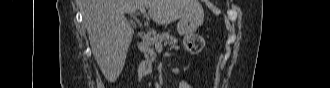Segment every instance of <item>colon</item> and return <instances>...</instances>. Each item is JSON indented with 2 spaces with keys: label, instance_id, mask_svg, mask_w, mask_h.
<instances>
[{
  "label": "colon",
  "instance_id": "5ec220e1",
  "mask_svg": "<svg viewBox=\"0 0 330 88\" xmlns=\"http://www.w3.org/2000/svg\"><path fill=\"white\" fill-rule=\"evenodd\" d=\"M206 47V41L203 36L198 34H189L184 39V48L191 54H199Z\"/></svg>",
  "mask_w": 330,
  "mask_h": 88
}]
</instances>
